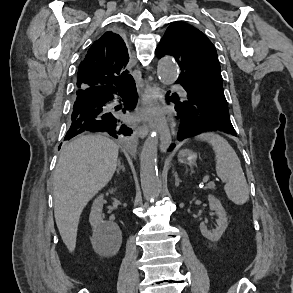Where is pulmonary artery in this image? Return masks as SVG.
<instances>
[{
    "instance_id": "pulmonary-artery-1",
    "label": "pulmonary artery",
    "mask_w": 293,
    "mask_h": 293,
    "mask_svg": "<svg viewBox=\"0 0 293 293\" xmlns=\"http://www.w3.org/2000/svg\"><path fill=\"white\" fill-rule=\"evenodd\" d=\"M182 96H186V91L180 87V86H175L174 87Z\"/></svg>"
}]
</instances>
